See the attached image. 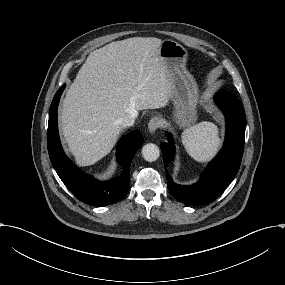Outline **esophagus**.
Returning <instances> with one entry per match:
<instances>
[{"mask_svg": "<svg viewBox=\"0 0 285 285\" xmlns=\"http://www.w3.org/2000/svg\"><path fill=\"white\" fill-rule=\"evenodd\" d=\"M160 126V120L158 118H152L148 123L150 133H154Z\"/></svg>", "mask_w": 285, "mask_h": 285, "instance_id": "esophagus-1", "label": "esophagus"}]
</instances>
